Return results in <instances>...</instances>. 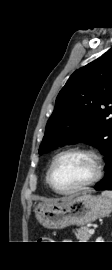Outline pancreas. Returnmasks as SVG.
<instances>
[{
	"instance_id": "cf45deb5",
	"label": "pancreas",
	"mask_w": 112,
	"mask_h": 270,
	"mask_svg": "<svg viewBox=\"0 0 112 270\" xmlns=\"http://www.w3.org/2000/svg\"><path fill=\"white\" fill-rule=\"evenodd\" d=\"M75 236L79 239V242H88L91 234L89 233V229L87 227H81L74 231Z\"/></svg>"
}]
</instances>
